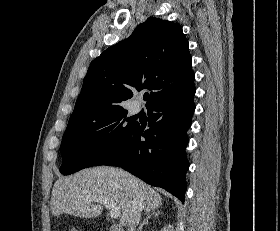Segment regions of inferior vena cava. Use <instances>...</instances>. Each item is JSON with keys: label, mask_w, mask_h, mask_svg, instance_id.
<instances>
[{"label": "inferior vena cava", "mask_w": 280, "mask_h": 231, "mask_svg": "<svg viewBox=\"0 0 280 231\" xmlns=\"http://www.w3.org/2000/svg\"><path fill=\"white\" fill-rule=\"evenodd\" d=\"M130 185H132V187H134V189H137V181H134V179H130L129 181ZM142 203H141V199H138V197H135V195H133V199H132V213L130 215V221L128 223V229L127 231H135V227L137 225V223H139V219L141 217V213H140V207H141Z\"/></svg>", "instance_id": "inferior-vena-cava-1"}]
</instances>
